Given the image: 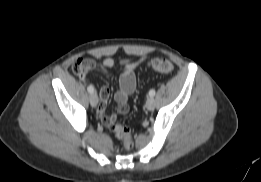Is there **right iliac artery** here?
I'll return each instance as SVG.
<instances>
[{
  "label": "right iliac artery",
  "mask_w": 261,
  "mask_h": 182,
  "mask_svg": "<svg viewBox=\"0 0 261 182\" xmlns=\"http://www.w3.org/2000/svg\"><path fill=\"white\" fill-rule=\"evenodd\" d=\"M87 90H88V92L89 93H94V87L93 86H91V85H89L88 87H87Z\"/></svg>",
  "instance_id": "1"
}]
</instances>
